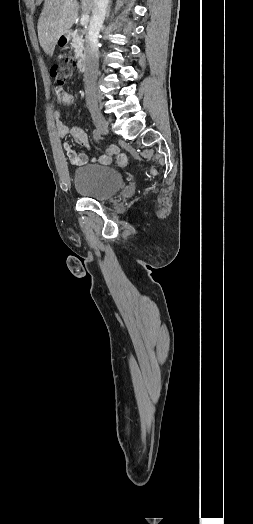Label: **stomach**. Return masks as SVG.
Masks as SVG:
<instances>
[{"mask_svg": "<svg viewBox=\"0 0 253 524\" xmlns=\"http://www.w3.org/2000/svg\"><path fill=\"white\" fill-rule=\"evenodd\" d=\"M69 40H70V36L68 34H64V35H61L58 38L56 44L61 46V47H65V46H67Z\"/></svg>", "mask_w": 253, "mask_h": 524, "instance_id": "stomach-1", "label": "stomach"}]
</instances>
